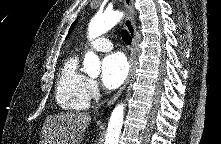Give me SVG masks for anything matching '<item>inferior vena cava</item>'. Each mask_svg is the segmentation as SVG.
<instances>
[{
  "instance_id": "inferior-vena-cava-1",
  "label": "inferior vena cava",
  "mask_w": 221,
  "mask_h": 144,
  "mask_svg": "<svg viewBox=\"0 0 221 144\" xmlns=\"http://www.w3.org/2000/svg\"><path fill=\"white\" fill-rule=\"evenodd\" d=\"M100 106H101V103H98L94 108L98 109V108H100Z\"/></svg>"
}]
</instances>
